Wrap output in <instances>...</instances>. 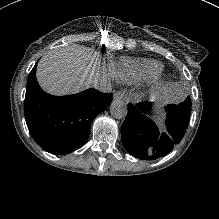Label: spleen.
Returning a JSON list of instances; mask_svg holds the SVG:
<instances>
[{
  "mask_svg": "<svg viewBox=\"0 0 219 219\" xmlns=\"http://www.w3.org/2000/svg\"><path fill=\"white\" fill-rule=\"evenodd\" d=\"M154 120L157 122V124L159 125V126H162L163 124H162V121L161 120H158L156 117H154Z\"/></svg>",
  "mask_w": 219,
  "mask_h": 219,
  "instance_id": "obj_1",
  "label": "spleen"
}]
</instances>
